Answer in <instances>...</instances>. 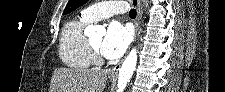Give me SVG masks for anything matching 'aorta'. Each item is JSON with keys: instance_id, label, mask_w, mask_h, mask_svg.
Masks as SVG:
<instances>
[{"instance_id": "762f6f07", "label": "aorta", "mask_w": 225, "mask_h": 92, "mask_svg": "<svg viewBox=\"0 0 225 92\" xmlns=\"http://www.w3.org/2000/svg\"><path fill=\"white\" fill-rule=\"evenodd\" d=\"M87 30L90 33H94L95 31H104V28L101 26H89ZM137 63V50L134 48L130 51L126 59L124 60L120 70H119V77H118V90L117 92H123L126 88L127 83L131 79L133 72L135 70Z\"/></svg>"}]
</instances>
